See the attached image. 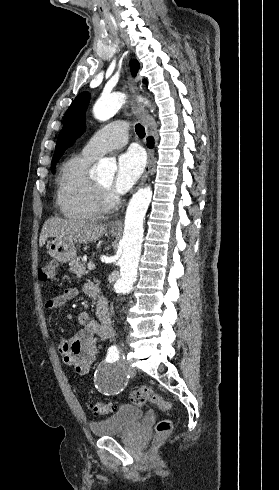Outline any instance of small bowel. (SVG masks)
Returning a JSON list of instances; mask_svg holds the SVG:
<instances>
[{"label": "small bowel", "mask_w": 279, "mask_h": 490, "mask_svg": "<svg viewBox=\"0 0 279 490\" xmlns=\"http://www.w3.org/2000/svg\"><path fill=\"white\" fill-rule=\"evenodd\" d=\"M84 293L87 296H96L99 294V289L94 284H88L84 287ZM77 296V289H65L57 296L49 299L45 307L48 310L59 309ZM96 315L99 321L93 319L86 311L79 312L77 314V322L80 325L78 332L70 340H59L62 362L74 374L83 375L88 373L96 359L98 343L113 339L116 335L112 313L105 297H99L96 305Z\"/></svg>", "instance_id": "small-bowel-1"}]
</instances>
